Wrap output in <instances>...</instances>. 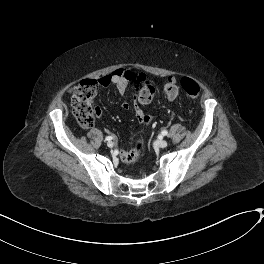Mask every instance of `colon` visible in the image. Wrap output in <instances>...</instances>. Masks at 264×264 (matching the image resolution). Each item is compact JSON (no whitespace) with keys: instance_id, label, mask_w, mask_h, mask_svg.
<instances>
[{"instance_id":"obj_1","label":"colon","mask_w":264,"mask_h":264,"mask_svg":"<svg viewBox=\"0 0 264 264\" xmlns=\"http://www.w3.org/2000/svg\"><path fill=\"white\" fill-rule=\"evenodd\" d=\"M180 86L186 92L187 96L196 99L200 96L201 89L196 80L191 77H183ZM156 83L151 79L145 80L139 89V99L143 103L150 102L156 95ZM97 82L95 80L85 79L72 86L68 90L73 108V114L82 128L93 127L96 118L99 115L97 107L92 103L96 93ZM164 92L169 99L178 96L179 86L173 78L167 79L163 86ZM144 148L142 139H137L133 146L130 158L139 155Z\"/></svg>"}]
</instances>
